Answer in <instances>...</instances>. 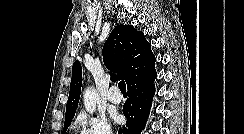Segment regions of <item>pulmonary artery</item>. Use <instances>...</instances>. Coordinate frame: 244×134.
Returning a JSON list of instances; mask_svg holds the SVG:
<instances>
[{"mask_svg": "<svg viewBox=\"0 0 244 134\" xmlns=\"http://www.w3.org/2000/svg\"><path fill=\"white\" fill-rule=\"evenodd\" d=\"M107 99L112 104H119L121 102L122 97H121L117 87L112 86L109 89V92L107 94Z\"/></svg>", "mask_w": 244, "mask_h": 134, "instance_id": "1", "label": "pulmonary artery"}]
</instances>
